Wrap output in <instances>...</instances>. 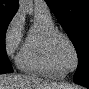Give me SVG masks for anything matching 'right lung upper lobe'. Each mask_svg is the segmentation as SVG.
<instances>
[{
  "instance_id": "cb5924a9",
  "label": "right lung upper lobe",
  "mask_w": 89,
  "mask_h": 89,
  "mask_svg": "<svg viewBox=\"0 0 89 89\" xmlns=\"http://www.w3.org/2000/svg\"><path fill=\"white\" fill-rule=\"evenodd\" d=\"M18 8V0H0V14L14 16Z\"/></svg>"
}]
</instances>
